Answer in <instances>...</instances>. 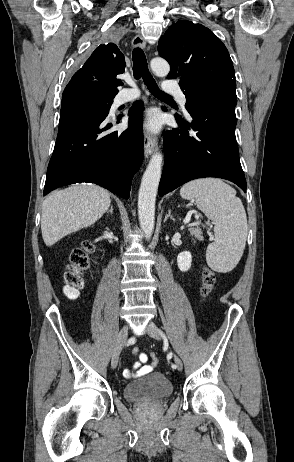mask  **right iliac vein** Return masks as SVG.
Wrapping results in <instances>:
<instances>
[{
    "mask_svg": "<svg viewBox=\"0 0 294 462\" xmlns=\"http://www.w3.org/2000/svg\"><path fill=\"white\" fill-rule=\"evenodd\" d=\"M127 337H128V325H124L118 334L117 341H116L115 347L112 352L111 367L113 369H115L118 365L119 356H120V353H121V350L124 344L126 343Z\"/></svg>",
    "mask_w": 294,
    "mask_h": 462,
    "instance_id": "1",
    "label": "right iliac vein"
}]
</instances>
